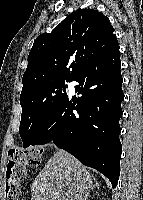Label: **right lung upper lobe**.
<instances>
[{
	"mask_svg": "<svg viewBox=\"0 0 143 200\" xmlns=\"http://www.w3.org/2000/svg\"><path fill=\"white\" fill-rule=\"evenodd\" d=\"M116 48L118 41L108 17L94 9H79L34 41L22 91L47 81L73 80Z\"/></svg>",
	"mask_w": 143,
	"mask_h": 200,
	"instance_id": "cb5924a9",
	"label": "right lung upper lobe"
}]
</instances>
